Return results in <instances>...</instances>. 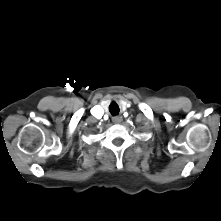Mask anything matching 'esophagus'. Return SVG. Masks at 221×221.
Masks as SVG:
<instances>
[{
  "label": "esophagus",
  "mask_w": 221,
  "mask_h": 221,
  "mask_svg": "<svg viewBox=\"0 0 221 221\" xmlns=\"http://www.w3.org/2000/svg\"><path fill=\"white\" fill-rule=\"evenodd\" d=\"M113 123L115 124H119L122 121V117L121 116H114L112 118Z\"/></svg>",
  "instance_id": "1"
}]
</instances>
